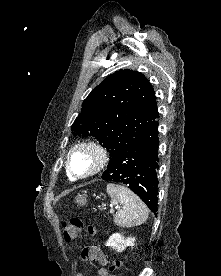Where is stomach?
I'll list each match as a JSON object with an SVG mask.
<instances>
[{"mask_svg": "<svg viewBox=\"0 0 221 276\" xmlns=\"http://www.w3.org/2000/svg\"><path fill=\"white\" fill-rule=\"evenodd\" d=\"M76 201L79 205H85L86 204V198L85 197H78Z\"/></svg>", "mask_w": 221, "mask_h": 276, "instance_id": "stomach-1", "label": "stomach"}]
</instances>
